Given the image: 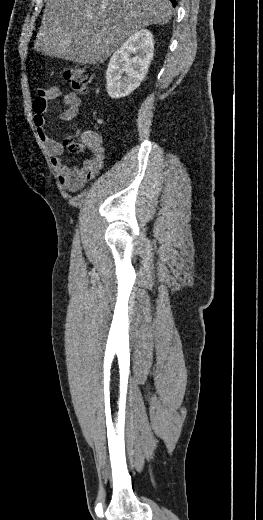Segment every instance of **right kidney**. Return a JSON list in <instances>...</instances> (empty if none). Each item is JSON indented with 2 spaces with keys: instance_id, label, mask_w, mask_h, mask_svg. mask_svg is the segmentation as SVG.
<instances>
[{
  "instance_id": "1",
  "label": "right kidney",
  "mask_w": 263,
  "mask_h": 520,
  "mask_svg": "<svg viewBox=\"0 0 263 520\" xmlns=\"http://www.w3.org/2000/svg\"><path fill=\"white\" fill-rule=\"evenodd\" d=\"M154 42L150 31L142 29L130 36L112 55L106 71V88L111 98L132 93L145 78L153 58ZM134 54V57H131Z\"/></svg>"
}]
</instances>
